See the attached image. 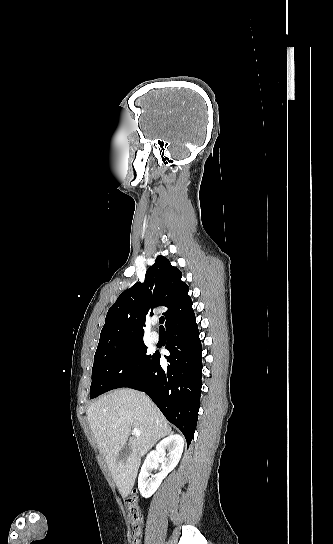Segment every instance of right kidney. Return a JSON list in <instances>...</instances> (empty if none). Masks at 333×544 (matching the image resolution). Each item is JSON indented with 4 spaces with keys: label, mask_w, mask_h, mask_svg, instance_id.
<instances>
[{
    "label": "right kidney",
    "mask_w": 333,
    "mask_h": 544,
    "mask_svg": "<svg viewBox=\"0 0 333 544\" xmlns=\"http://www.w3.org/2000/svg\"><path fill=\"white\" fill-rule=\"evenodd\" d=\"M183 447L184 441L180 435H170L160 441L156 449L147 455L138 477V488L143 497L149 498L156 492L162 480L178 464ZM166 450L169 452L168 458H166ZM158 462L161 463L162 470L150 478V472L157 466Z\"/></svg>",
    "instance_id": "1"
}]
</instances>
